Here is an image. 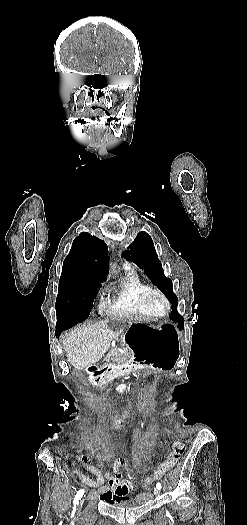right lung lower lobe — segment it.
Segmentation results:
<instances>
[{"label":"right lung lower lobe","mask_w":247,"mask_h":525,"mask_svg":"<svg viewBox=\"0 0 247 525\" xmlns=\"http://www.w3.org/2000/svg\"><path fill=\"white\" fill-rule=\"evenodd\" d=\"M68 328H70V327H68V326H56L55 335L58 337L63 330L68 329Z\"/></svg>","instance_id":"98d812e1"}]
</instances>
